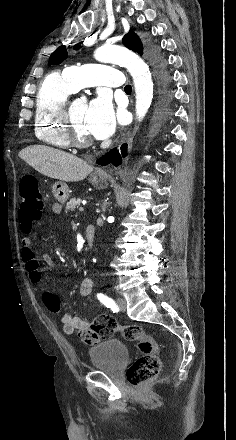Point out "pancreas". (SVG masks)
<instances>
[{
	"label": "pancreas",
	"instance_id": "pancreas-1",
	"mask_svg": "<svg viewBox=\"0 0 236 440\" xmlns=\"http://www.w3.org/2000/svg\"><path fill=\"white\" fill-rule=\"evenodd\" d=\"M80 203H81V199H80V198H78V199H76V198L71 199V200L66 204L65 212L68 213V212H70V211H74L75 208H76L77 206L80 205Z\"/></svg>",
	"mask_w": 236,
	"mask_h": 440
}]
</instances>
